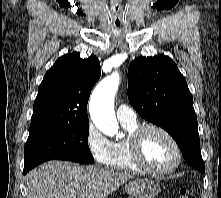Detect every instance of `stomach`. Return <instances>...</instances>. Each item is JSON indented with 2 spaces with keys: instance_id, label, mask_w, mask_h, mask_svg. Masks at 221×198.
<instances>
[{
  "instance_id": "0dacf381",
  "label": "stomach",
  "mask_w": 221,
  "mask_h": 198,
  "mask_svg": "<svg viewBox=\"0 0 221 198\" xmlns=\"http://www.w3.org/2000/svg\"><path fill=\"white\" fill-rule=\"evenodd\" d=\"M125 192L130 198H154L160 192V188L154 181L137 179L125 185Z\"/></svg>"
}]
</instances>
